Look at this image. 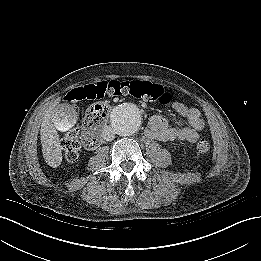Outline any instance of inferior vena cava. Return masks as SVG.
I'll return each mask as SVG.
<instances>
[{
	"mask_svg": "<svg viewBox=\"0 0 261 261\" xmlns=\"http://www.w3.org/2000/svg\"><path fill=\"white\" fill-rule=\"evenodd\" d=\"M102 137L106 141H112L115 139V133L110 126H106L102 131Z\"/></svg>",
	"mask_w": 261,
	"mask_h": 261,
	"instance_id": "inferior-vena-cava-1",
	"label": "inferior vena cava"
}]
</instances>
